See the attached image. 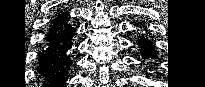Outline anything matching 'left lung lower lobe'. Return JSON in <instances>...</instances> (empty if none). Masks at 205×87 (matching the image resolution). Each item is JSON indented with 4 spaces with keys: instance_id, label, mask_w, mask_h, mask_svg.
<instances>
[{
    "instance_id": "0a47b994",
    "label": "left lung lower lobe",
    "mask_w": 205,
    "mask_h": 87,
    "mask_svg": "<svg viewBox=\"0 0 205 87\" xmlns=\"http://www.w3.org/2000/svg\"><path fill=\"white\" fill-rule=\"evenodd\" d=\"M140 26V25H139ZM138 45L141 49V55L143 59L156 58V54L154 51V46L151 40H149L146 36H141L139 40H137Z\"/></svg>"
}]
</instances>
